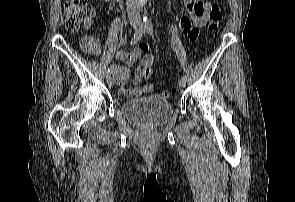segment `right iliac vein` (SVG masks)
Returning a JSON list of instances; mask_svg holds the SVG:
<instances>
[{"label": "right iliac vein", "instance_id": "right-iliac-vein-1", "mask_svg": "<svg viewBox=\"0 0 295 202\" xmlns=\"http://www.w3.org/2000/svg\"><path fill=\"white\" fill-rule=\"evenodd\" d=\"M133 27L136 28L137 24H133ZM106 81L108 83V85L113 86L115 84V78L111 77L110 75L106 77Z\"/></svg>", "mask_w": 295, "mask_h": 202}]
</instances>
